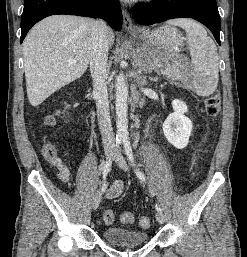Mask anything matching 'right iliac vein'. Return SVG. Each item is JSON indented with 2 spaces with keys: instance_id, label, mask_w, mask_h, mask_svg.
<instances>
[{
  "instance_id": "right-iliac-vein-1",
  "label": "right iliac vein",
  "mask_w": 247,
  "mask_h": 257,
  "mask_svg": "<svg viewBox=\"0 0 247 257\" xmlns=\"http://www.w3.org/2000/svg\"><path fill=\"white\" fill-rule=\"evenodd\" d=\"M113 154V151L111 149H107L105 151V155H106V158L107 159H110L111 156ZM101 198H102V193L101 191H97L93 197V200H92V207L94 210H96L101 202Z\"/></svg>"
}]
</instances>
